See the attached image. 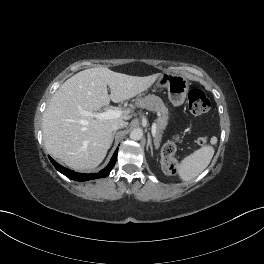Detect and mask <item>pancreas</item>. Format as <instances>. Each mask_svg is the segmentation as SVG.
Here are the masks:
<instances>
[{
	"mask_svg": "<svg viewBox=\"0 0 264 264\" xmlns=\"http://www.w3.org/2000/svg\"><path fill=\"white\" fill-rule=\"evenodd\" d=\"M135 106L142 109L155 111L159 114V117L156 120L157 130L154 136L155 145L158 147L160 145L163 130L165 129L169 119L168 108L165 106L162 99L158 96H155L154 94L137 98L135 101Z\"/></svg>",
	"mask_w": 264,
	"mask_h": 264,
	"instance_id": "pancreas-1",
	"label": "pancreas"
}]
</instances>
